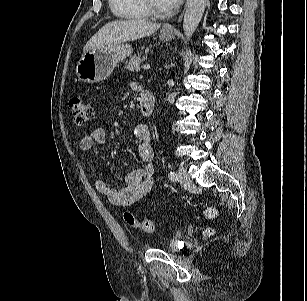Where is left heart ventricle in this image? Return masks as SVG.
<instances>
[{
  "instance_id": "obj_1",
  "label": "left heart ventricle",
  "mask_w": 307,
  "mask_h": 301,
  "mask_svg": "<svg viewBox=\"0 0 307 301\" xmlns=\"http://www.w3.org/2000/svg\"><path fill=\"white\" fill-rule=\"evenodd\" d=\"M152 6L159 11H166V8L161 4L159 0H150Z\"/></svg>"
}]
</instances>
